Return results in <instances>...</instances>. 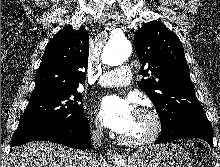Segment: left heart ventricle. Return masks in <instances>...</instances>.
<instances>
[{
    "label": "left heart ventricle",
    "mask_w": 220,
    "mask_h": 167,
    "mask_svg": "<svg viewBox=\"0 0 220 167\" xmlns=\"http://www.w3.org/2000/svg\"><path fill=\"white\" fill-rule=\"evenodd\" d=\"M150 127V118L136 111L132 125L122 135L127 138H139L144 136L149 131Z\"/></svg>",
    "instance_id": "left-heart-ventricle-1"
}]
</instances>
